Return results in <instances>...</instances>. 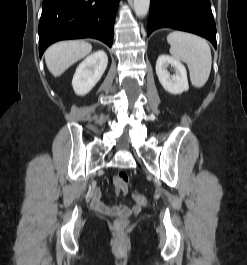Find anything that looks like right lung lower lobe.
I'll use <instances>...</instances> for the list:
<instances>
[{
	"mask_svg": "<svg viewBox=\"0 0 247 265\" xmlns=\"http://www.w3.org/2000/svg\"><path fill=\"white\" fill-rule=\"evenodd\" d=\"M119 0H43L39 54L65 39L96 38L109 47Z\"/></svg>",
	"mask_w": 247,
	"mask_h": 265,
	"instance_id": "1",
	"label": "right lung lower lobe"
}]
</instances>
